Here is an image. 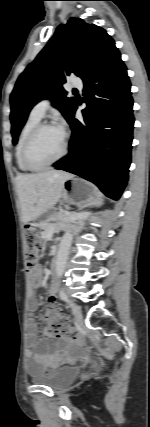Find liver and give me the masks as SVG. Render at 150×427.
<instances>
[{
	"label": "liver",
	"mask_w": 150,
	"mask_h": 427,
	"mask_svg": "<svg viewBox=\"0 0 150 427\" xmlns=\"http://www.w3.org/2000/svg\"><path fill=\"white\" fill-rule=\"evenodd\" d=\"M73 176L63 171L21 174L16 177L22 221L28 223L54 207L62 197L63 185Z\"/></svg>",
	"instance_id": "liver-1"
}]
</instances>
